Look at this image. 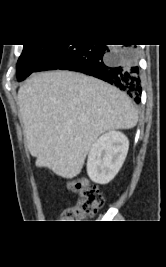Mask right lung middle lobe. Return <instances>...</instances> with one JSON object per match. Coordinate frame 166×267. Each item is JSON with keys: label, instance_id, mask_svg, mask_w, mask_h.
Wrapping results in <instances>:
<instances>
[{"label": "right lung middle lobe", "instance_id": "right-lung-middle-lobe-1", "mask_svg": "<svg viewBox=\"0 0 166 267\" xmlns=\"http://www.w3.org/2000/svg\"><path fill=\"white\" fill-rule=\"evenodd\" d=\"M58 46L57 44L24 45L17 63V80L22 81L35 72Z\"/></svg>", "mask_w": 166, "mask_h": 267}]
</instances>
